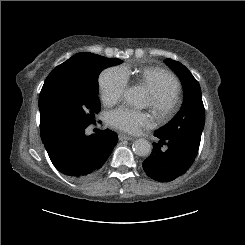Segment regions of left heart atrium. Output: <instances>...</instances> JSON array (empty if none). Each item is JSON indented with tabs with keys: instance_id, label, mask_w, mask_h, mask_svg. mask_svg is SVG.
Returning <instances> with one entry per match:
<instances>
[{
	"instance_id": "left-heart-atrium-1",
	"label": "left heart atrium",
	"mask_w": 245,
	"mask_h": 245,
	"mask_svg": "<svg viewBox=\"0 0 245 245\" xmlns=\"http://www.w3.org/2000/svg\"><path fill=\"white\" fill-rule=\"evenodd\" d=\"M107 123L110 127L129 134H138L143 128L152 126V121L146 113L127 107L110 112Z\"/></svg>"
}]
</instances>
